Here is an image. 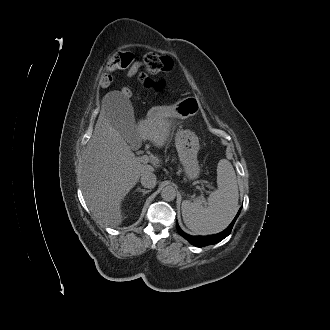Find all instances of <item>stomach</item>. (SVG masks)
Instances as JSON below:
<instances>
[{"instance_id": "1", "label": "stomach", "mask_w": 330, "mask_h": 330, "mask_svg": "<svg viewBox=\"0 0 330 330\" xmlns=\"http://www.w3.org/2000/svg\"><path fill=\"white\" fill-rule=\"evenodd\" d=\"M200 110L201 104L199 99L194 96H188L179 100L173 106L163 108L162 113H159V115L186 119L197 115ZM175 145L186 178L189 181L198 179L201 169L197 158L200 149L197 135L190 130L179 129L175 136Z\"/></svg>"}]
</instances>
